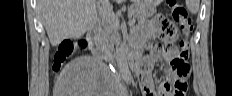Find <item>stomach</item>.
Listing matches in <instances>:
<instances>
[{"mask_svg": "<svg viewBox=\"0 0 232 96\" xmlns=\"http://www.w3.org/2000/svg\"><path fill=\"white\" fill-rule=\"evenodd\" d=\"M146 6L153 4L154 0H144L143 1Z\"/></svg>", "mask_w": 232, "mask_h": 96, "instance_id": "obj_1", "label": "stomach"}]
</instances>
